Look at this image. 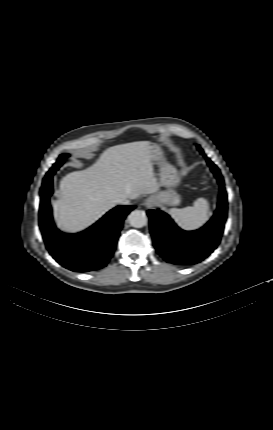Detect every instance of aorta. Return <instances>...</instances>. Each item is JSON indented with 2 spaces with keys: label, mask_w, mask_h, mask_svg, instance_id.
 Masks as SVG:
<instances>
[{
  "label": "aorta",
  "mask_w": 273,
  "mask_h": 430,
  "mask_svg": "<svg viewBox=\"0 0 273 430\" xmlns=\"http://www.w3.org/2000/svg\"><path fill=\"white\" fill-rule=\"evenodd\" d=\"M128 222L132 227L141 228L147 224L148 218L144 211L134 210L129 214Z\"/></svg>",
  "instance_id": "762f6f07"
}]
</instances>
